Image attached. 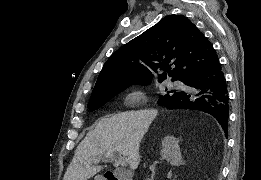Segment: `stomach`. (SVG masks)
Wrapping results in <instances>:
<instances>
[{"label": "stomach", "mask_w": 261, "mask_h": 180, "mask_svg": "<svg viewBox=\"0 0 261 180\" xmlns=\"http://www.w3.org/2000/svg\"><path fill=\"white\" fill-rule=\"evenodd\" d=\"M94 180H104V178L102 176L98 175V176H95Z\"/></svg>", "instance_id": "0dacf381"}]
</instances>
